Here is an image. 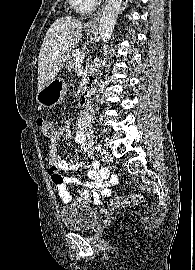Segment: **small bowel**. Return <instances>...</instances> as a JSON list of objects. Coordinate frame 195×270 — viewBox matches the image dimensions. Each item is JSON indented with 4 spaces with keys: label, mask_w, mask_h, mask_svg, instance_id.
Masks as SVG:
<instances>
[{
    "label": "small bowel",
    "mask_w": 195,
    "mask_h": 270,
    "mask_svg": "<svg viewBox=\"0 0 195 270\" xmlns=\"http://www.w3.org/2000/svg\"><path fill=\"white\" fill-rule=\"evenodd\" d=\"M90 116L87 112L80 113L74 134L75 143L81 146L82 151L90 157L91 162L86 165L74 156L62 159L59 156L58 147L60 142L71 134L70 119L67 117L64 123L50 136L49 139V175L55 185L58 196L65 204L71 201V195L67 190L68 185H77L82 189L78 192V202L101 203V196L109 197L111 188L117 184V176L103 167L100 162L93 158L92 135L89 130ZM80 168L86 170V178L75 176H63L61 172L75 171Z\"/></svg>",
    "instance_id": "1"
}]
</instances>
